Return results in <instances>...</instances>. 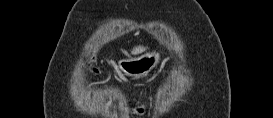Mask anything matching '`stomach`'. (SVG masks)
<instances>
[{
	"label": "stomach",
	"instance_id": "stomach-1",
	"mask_svg": "<svg viewBox=\"0 0 273 118\" xmlns=\"http://www.w3.org/2000/svg\"><path fill=\"white\" fill-rule=\"evenodd\" d=\"M160 54L152 52L138 58L121 59L119 68L128 76L140 78L147 75L159 63Z\"/></svg>",
	"mask_w": 273,
	"mask_h": 118
}]
</instances>
